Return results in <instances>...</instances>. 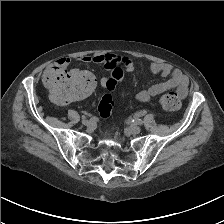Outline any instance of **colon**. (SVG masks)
I'll list each match as a JSON object with an SVG mask.
<instances>
[{
	"label": "colon",
	"instance_id": "5ec220e1",
	"mask_svg": "<svg viewBox=\"0 0 224 224\" xmlns=\"http://www.w3.org/2000/svg\"><path fill=\"white\" fill-rule=\"evenodd\" d=\"M123 71L114 69L109 78L104 81L107 89L98 104V112L103 120H107L114 105L111 92L123 78ZM46 83L51 88L54 97L58 101L72 102L90 95L94 89L96 80L94 76L85 71L68 72L56 69L46 76ZM160 104L167 111H176L181 106V100L177 93L168 92L161 96Z\"/></svg>",
	"mask_w": 224,
	"mask_h": 224
}]
</instances>
